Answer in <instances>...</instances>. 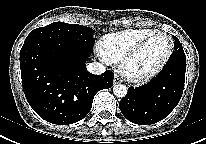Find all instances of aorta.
<instances>
[{"label": "aorta", "mask_w": 206, "mask_h": 144, "mask_svg": "<svg viewBox=\"0 0 206 144\" xmlns=\"http://www.w3.org/2000/svg\"><path fill=\"white\" fill-rule=\"evenodd\" d=\"M127 87L123 84H117L113 87V93L116 97L123 98L127 94Z\"/></svg>", "instance_id": "1"}]
</instances>
